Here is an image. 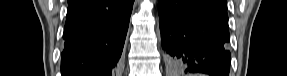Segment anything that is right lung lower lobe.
Instances as JSON below:
<instances>
[{
    "label": "right lung lower lobe",
    "instance_id": "1",
    "mask_svg": "<svg viewBox=\"0 0 287 76\" xmlns=\"http://www.w3.org/2000/svg\"><path fill=\"white\" fill-rule=\"evenodd\" d=\"M134 0H68L62 76H113Z\"/></svg>",
    "mask_w": 287,
    "mask_h": 76
}]
</instances>
